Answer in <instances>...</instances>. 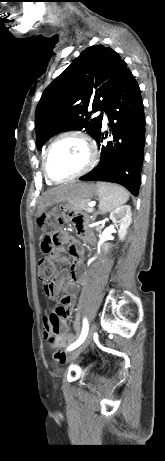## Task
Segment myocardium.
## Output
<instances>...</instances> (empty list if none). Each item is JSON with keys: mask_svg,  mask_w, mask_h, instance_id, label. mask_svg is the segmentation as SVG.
Listing matches in <instances>:
<instances>
[{"mask_svg": "<svg viewBox=\"0 0 165 461\" xmlns=\"http://www.w3.org/2000/svg\"><path fill=\"white\" fill-rule=\"evenodd\" d=\"M65 138H76L84 144L86 151H87V162L83 166V168H81L76 173L68 177L62 178V179H54L48 172L47 158H48V155L51 149L54 147V145ZM96 161H97V150L91 138L85 133H82L79 131H66V132L59 134L57 137H55L46 147L44 154H43V159H42V169H43L44 176L46 177L48 181L52 183H63L66 181L79 178L83 176L84 174L88 173L95 166Z\"/></svg>", "mask_w": 165, "mask_h": 461, "instance_id": "myocardium-1", "label": "myocardium"}]
</instances>
